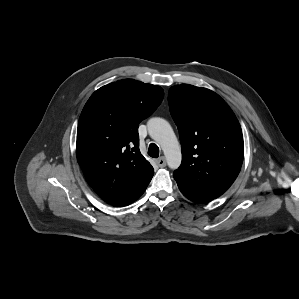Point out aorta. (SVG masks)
Instances as JSON below:
<instances>
[{
    "mask_svg": "<svg viewBox=\"0 0 299 299\" xmlns=\"http://www.w3.org/2000/svg\"><path fill=\"white\" fill-rule=\"evenodd\" d=\"M150 137L162 148L168 166L177 169L181 164V147L171 125L162 118H151L147 124Z\"/></svg>",
    "mask_w": 299,
    "mask_h": 299,
    "instance_id": "1",
    "label": "aorta"
}]
</instances>
